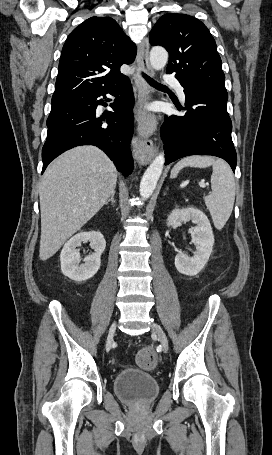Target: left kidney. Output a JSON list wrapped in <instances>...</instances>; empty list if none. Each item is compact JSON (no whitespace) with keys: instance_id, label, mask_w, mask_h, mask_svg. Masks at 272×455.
I'll return each mask as SVG.
<instances>
[{"instance_id":"left-kidney-1","label":"left kidney","mask_w":272,"mask_h":455,"mask_svg":"<svg viewBox=\"0 0 272 455\" xmlns=\"http://www.w3.org/2000/svg\"><path fill=\"white\" fill-rule=\"evenodd\" d=\"M190 220L197 225L191 229L196 251L192 257L179 252L175 257V267L181 274L194 276L204 268L213 250L214 235L207 216L195 207L176 208L168 216L167 226L175 229Z\"/></svg>"}]
</instances>
